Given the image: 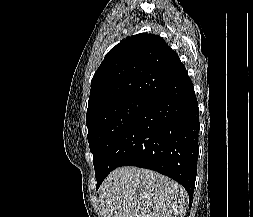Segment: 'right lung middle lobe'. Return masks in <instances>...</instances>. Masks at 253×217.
Listing matches in <instances>:
<instances>
[{
  "mask_svg": "<svg viewBox=\"0 0 253 217\" xmlns=\"http://www.w3.org/2000/svg\"><path fill=\"white\" fill-rule=\"evenodd\" d=\"M148 101L142 97L125 98L86 118L87 138L97 180L105 173L106 160L115 143Z\"/></svg>",
  "mask_w": 253,
  "mask_h": 217,
  "instance_id": "right-lung-middle-lobe-1",
  "label": "right lung middle lobe"
}]
</instances>
